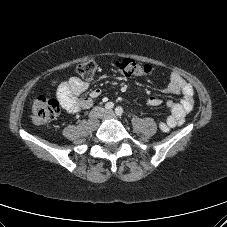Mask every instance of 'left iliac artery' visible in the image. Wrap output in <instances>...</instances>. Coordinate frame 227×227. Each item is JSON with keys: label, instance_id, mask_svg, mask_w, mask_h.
<instances>
[{"label": "left iliac artery", "instance_id": "44dca946", "mask_svg": "<svg viewBox=\"0 0 227 227\" xmlns=\"http://www.w3.org/2000/svg\"><path fill=\"white\" fill-rule=\"evenodd\" d=\"M115 112L118 116L123 115V108L121 106L116 107Z\"/></svg>", "mask_w": 227, "mask_h": 227}]
</instances>
